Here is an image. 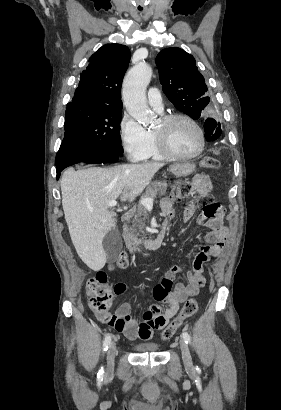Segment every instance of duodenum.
Instances as JSON below:
<instances>
[{
  "mask_svg": "<svg viewBox=\"0 0 281 410\" xmlns=\"http://www.w3.org/2000/svg\"><path fill=\"white\" fill-rule=\"evenodd\" d=\"M132 216H133V211L125 212L122 215V222L123 223L128 222L132 218ZM164 239H165V228H163L159 232L157 237L152 240H139V239H134V238H128L127 248L133 254H136L143 249L157 250L162 246Z\"/></svg>",
  "mask_w": 281,
  "mask_h": 410,
  "instance_id": "duodenum-1",
  "label": "duodenum"
}]
</instances>
